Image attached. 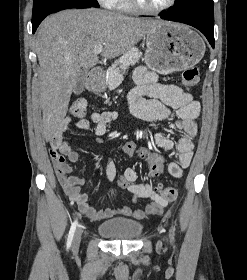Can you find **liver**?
Here are the masks:
<instances>
[{"label":"liver","instance_id":"6515ba94","mask_svg":"<svg viewBox=\"0 0 247 280\" xmlns=\"http://www.w3.org/2000/svg\"><path fill=\"white\" fill-rule=\"evenodd\" d=\"M161 20L127 17L90 8L65 10L47 17L40 25L36 53L40 65V107L46 140L60 128L81 68L98 63L102 56L115 58L133 48Z\"/></svg>","mask_w":247,"mask_h":280}]
</instances>
